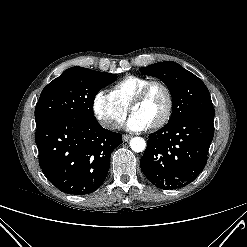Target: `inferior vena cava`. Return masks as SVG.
I'll return each mask as SVG.
<instances>
[{"label":"inferior vena cava","instance_id":"inferior-vena-cava-1","mask_svg":"<svg viewBox=\"0 0 247 247\" xmlns=\"http://www.w3.org/2000/svg\"><path fill=\"white\" fill-rule=\"evenodd\" d=\"M101 126L106 129L114 130L118 128V124L112 120H102L100 122Z\"/></svg>","mask_w":247,"mask_h":247}]
</instances>
